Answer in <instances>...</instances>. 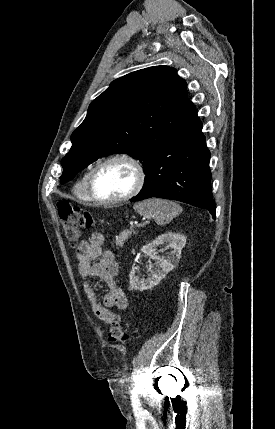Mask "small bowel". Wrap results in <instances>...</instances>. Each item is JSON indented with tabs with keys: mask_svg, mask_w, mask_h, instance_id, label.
I'll return each mask as SVG.
<instances>
[{
	"mask_svg": "<svg viewBox=\"0 0 275 429\" xmlns=\"http://www.w3.org/2000/svg\"><path fill=\"white\" fill-rule=\"evenodd\" d=\"M104 237L100 233H93L88 241H82L76 250L78 271L86 281L84 291L95 315L106 323H111L118 316L111 311L116 307L125 310L128 299L116 281L118 266L115 256L110 250H102ZM98 277L108 287L104 296L94 290L91 279Z\"/></svg>",
	"mask_w": 275,
	"mask_h": 429,
	"instance_id": "small-bowel-1",
	"label": "small bowel"
}]
</instances>
